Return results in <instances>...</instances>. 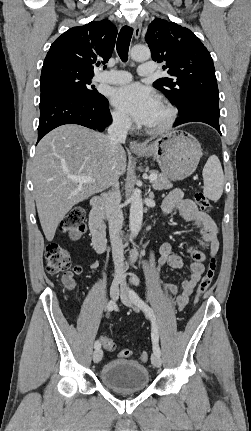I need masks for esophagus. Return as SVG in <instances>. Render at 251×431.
Instances as JSON below:
<instances>
[{"label":"esophagus","instance_id":"34e87169","mask_svg":"<svg viewBox=\"0 0 251 431\" xmlns=\"http://www.w3.org/2000/svg\"><path fill=\"white\" fill-rule=\"evenodd\" d=\"M132 27H133V30H134V32H133L134 37L137 39L139 37L140 33H141V27H142V25H141V23L139 21H136L132 25ZM130 149L132 151H138V150H142L143 146L139 142H137V141L134 140V141H132L130 143Z\"/></svg>","mask_w":251,"mask_h":431}]
</instances>
